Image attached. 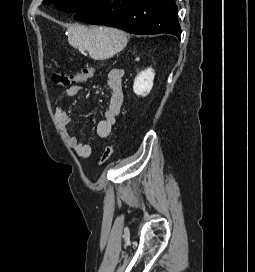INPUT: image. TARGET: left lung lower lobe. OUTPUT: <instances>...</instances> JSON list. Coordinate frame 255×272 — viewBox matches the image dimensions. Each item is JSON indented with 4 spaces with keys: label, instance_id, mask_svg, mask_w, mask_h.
I'll list each match as a JSON object with an SVG mask.
<instances>
[{
    "label": "left lung lower lobe",
    "instance_id": "obj_1",
    "mask_svg": "<svg viewBox=\"0 0 255 272\" xmlns=\"http://www.w3.org/2000/svg\"><path fill=\"white\" fill-rule=\"evenodd\" d=\"M177 10L174 0H96L74 19L133 34L169 33L180 39Z\"/></svg>",
    "mask_w": 255,
    "mask_h": 272
}]
</instances>
